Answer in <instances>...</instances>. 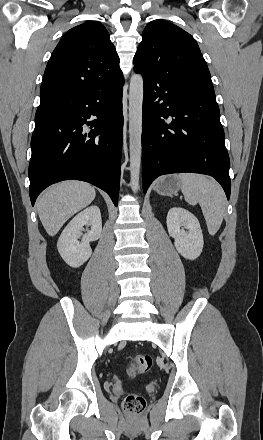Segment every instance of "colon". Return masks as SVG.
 <instances>
[{
	"mask_svg": "<svg viewBox=\"0 0 263 440\" xmlns=\"http://www.w3.org/2000/svg\"><path fill=\"white\" fill-rule=\"evenodd\" d=\"M153 364L152 357L148 354H136L130 357L126 373L130 377L148 372ZM146 406L145 398L136 393L128 394L123 400V408L130 414L141 413Z\"/></svg>",
	"mask_w": 263,
	"mask_h": 440,
	"instance_id": "colon-1",
	"label": "colon"
}]
</instances>
